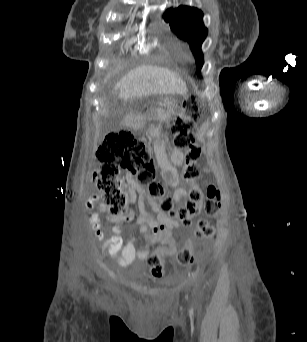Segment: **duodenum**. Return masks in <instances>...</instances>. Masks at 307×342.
Returning <instances> with one entry per match:
<instances>
[{"label":"duodenum","instance_id":"410a0bca","mask_svg":"<svg viewBox=\"0 0 307 342\" xmlns=\"http://www.w3.org/2000/svg\"><path fill=\"white\" fill-rule=\"evenodd\" d=\"M121 123L124 125L125 128H130L133 123L132 117H122Z\"/></svg>","mask_w":307,"mask_h":342}]
</instances>
